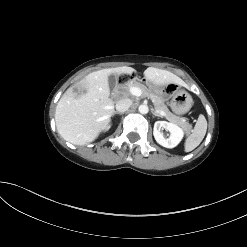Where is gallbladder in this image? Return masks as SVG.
Instances as JSON below:
<instances>
[{
  "mask_svg": "<svg viewBox=\"0 0 247 247\" xmlns=\"http://www.w3.org/2000/svg\"><path fill=\"white\" fill-rule=\"evenodd\" d=\"M117 83H118L117 76L115 74H110L108 76V84L110 89H114Z\"/></svg>",
  "mask_w": 247,
  "mask_h": 247,
  "instance_id": "bac80fb5",
  "label": "gallbladder"
}]
</instances>
